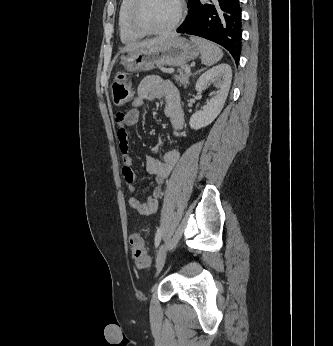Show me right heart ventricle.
Instances as JSON below:
<instances>
[{
  "label": "right heart ventricle",
  "mask_w": 333,
  "mask_h": 346,
  "mask_svg": "<svg viewBox=\"0 0 333 346\" xmlns=\"http://www.w3.org/2000/svg\"><path fill=\"white\" fill-rule=\"evenodd\" d=\"M134 0H121L118 18L117 28L120 39L125 44H132L139 41L143 35L136 32L130 25V12Z\"/></svg>",
  "instance_id": "obj_1"
}]
</instances>
